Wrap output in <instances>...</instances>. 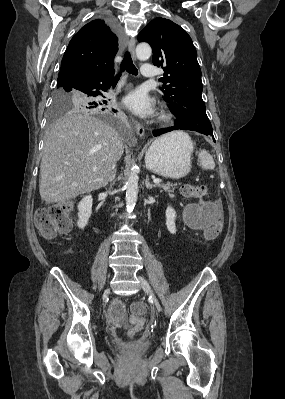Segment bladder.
Masks as SVG:
<instances>
[{
    "label": "bladder",
    "mask_w": 285,
    "mask_h": 399,
    "mask_svg": "<svg viewBox=\"0 0 285 399\" xmlns=\"http://www.w3.org/2000/svg\"><path fill=\"white\" fill-rule=\"evenodd\" d=\"M149 346H150L149 342L137 344V345L133 346L132 353L134 355L144 354L148 350Z\"/></svg>",
    "instance_id": "31cf9c89"
}]
</instances>
